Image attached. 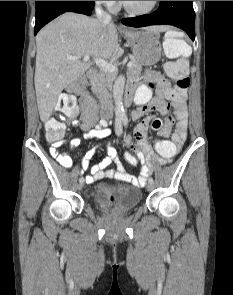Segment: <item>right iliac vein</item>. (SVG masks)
<instances>
[{
    "label": "right iliac vein",
    "mask_w": 233,
    "mask_h": 295,
    "mask_svg": "<svg viewBox=\"0 0 233 295\" xmlns=\"http://www.w3.org/2000/svg\"><path fill=\"white\" fill-rule=\"evenodd\" d=\"M84 186V178L79 179L78 189L81 190Z\"/></svg>",
    "instance_id": "obj_1"
}]
</instances>
